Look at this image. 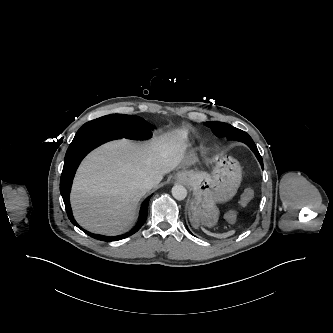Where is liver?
Returning <instances> with one entry per match:
<instances>
[{
    "instance_id": "6515ba94",
    "label": "liver",
    "mask_w": 333,
    "mask_h": 333,
    "mask_svg": "<svg viewBox=\"0 0 333 333\" xmlns=\"http://www.w3.org/2000/svg\"><path fill=\"white\" fill-rule=\"evenodd\" d=\"M188 147L186 134L176 130L147 142L123 139L97 148L82 162L73 183L70 199L75 219L94 233H122L145 194L138 183L150 178L155 187L177 167L194 165L197 157Z\"/></svg>"
}]
</instances>
